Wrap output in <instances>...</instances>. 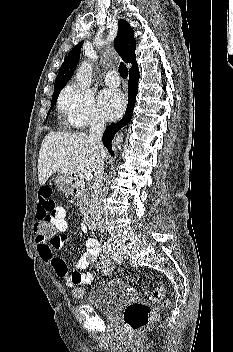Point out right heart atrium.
<instances>
[{
    "instance_id": "obj_1",
    "label": "right heart atrium",
    "mask_w": 233,
    "mask_h": 352,
    "mask_svg": "<svg viewBox=\"0 0 233 352\" xmlns=\"http://www.w3.org/2000/svg\"><path fill=\"white\" fill-rule=\"evenodd\" d=\"M58 108L66 123L74 129H85L104 123V118L96 106L93 95L75 83L68 84L62 90Z\"/></svg>"
}]
</instances>
